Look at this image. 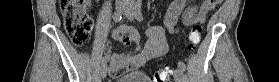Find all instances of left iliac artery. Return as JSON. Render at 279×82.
Wrapping results in <instances>:
<instances>
[{
    "instance_id": "44dca946",
    "label": "left iliac artery",
    "mask_w": 279,
    "mask_h": 82,
    "mask_svg": "<svg viewBox=\"0 0 279 82\" xmlns=\"http://www.w3.org/2000/svg\"><path fill=\"white\" fill-rule=\"evenodd\" d=\"M141 6H142V1L141 0H138L136 2V5H135V17L137 20L141 21L143 20V15H142V10H141ZM178 67L185 71L186 70V66L183 62L179 61L178 62Z\"/></svg>"
}]
</instances>
